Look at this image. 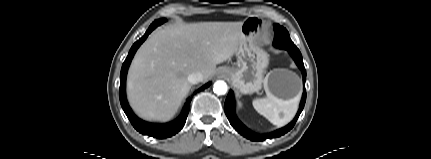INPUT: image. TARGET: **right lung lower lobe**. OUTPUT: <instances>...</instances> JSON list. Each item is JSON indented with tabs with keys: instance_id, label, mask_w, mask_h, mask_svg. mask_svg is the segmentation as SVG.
<instances>
[{
	"instance_id": "98d812e1",
	"label": "right lung lower lobe",
	"mask_w": 431,
	"mask_h": 159,
	"mask_svg": "<svg viewBox=\"0 0 431 159\" xmlns=\"http://www.w3.org/2000/svg\"><path fill=\"white\" fill-rule=\"evenodd\" d=\"M156 27L157 26L151 24L149 26L148 30L146 31V33L144 34V36L142 38H140L137 42H135L133 44V46L131 47L129 54H128L126 60L124 61L123 65H122V68H121L119 97H120L121 106H122L125 114L127 115L131 124L133 125V127L137 131H139L143 135H148L151 137L164 139V138L171 137V136L175 135L176 133H178L183 128V126L186 122L188 113H189L191 97H189L187 99V101L183 107L182 113L180 114V116L177 119H175L172 122L165 123V124H153V123H148V122H145V121L139 119L132 112L131 108L128 105V102L126 99V93H125L126 75H127V71H128V67L130 65V62H131L136 50L145 41V39L152 32V30H154ZM209 85H210V83L205 84L204 86H202L201 88L196 90L193 93V95H195V93H197L199 91L204 90Z\"/></svg>"
}]
</instances>
